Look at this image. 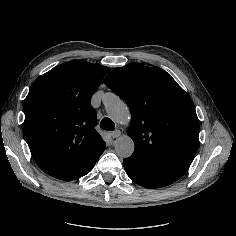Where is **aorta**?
<instances>
[{
    "instance_id": "762f6f07",
    "label": "aorta",
    "mask_w": 236,
    "mask_h": 236,
    "mask_svg": "<svg viewBox=\"0 0 236 236\" xmlns=\"http://www.w3.org/2000/svg\"><path fill=\"white\" fill-rule=\"evenodd\" d=\"M104 105L111 119L120 124H125L130 119V111L125 102L117 95L108 93L104 97ZM135 148L133 140L128 135H122L115 142V152L119 157H129Z\"/></svg>"
}]
</instances>
